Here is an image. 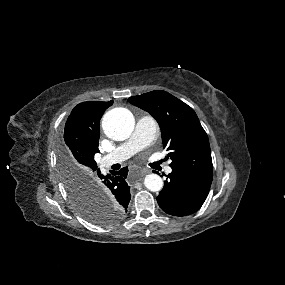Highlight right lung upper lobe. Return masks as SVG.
<instances>
[{"mask_svg":"<svg viewBox=\"0 0 285 285\" xmlns=\"http://www.w3.org/2000/svg\"><path fill=\"white\" fill-rule=\"evenodd\" d=\"M112 104L113 101L80 103L66 121L63 146L71 160L88 176L98 169L94 155L99 152L100 119Z\"/></svg>","mask_w":285,"mask_h":285,"instance_id":"cb5924a9","label":"right lung upper lobe"}]
</instances>
